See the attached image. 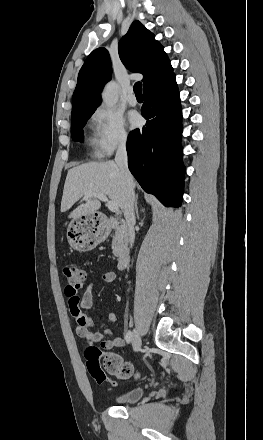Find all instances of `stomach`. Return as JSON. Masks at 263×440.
Segmentation results:
<instances>
[{
	"label": "stomach",
	"instance_id": "1",
	"mask_svg": "<svg viewBox=\"0 0 263 440\" xmlns=\"http://www.w3.org/2000/svg\"><path fill=\"white\" fill-rule=\"evenodd\" d=\"M96 214L73 218L67 228L70 245L80 252L95 248L105 238L102 229L97 226Z\"/></svg>",
	"mask_w": 263,
	"mask_h": 440
}]
</instances>
